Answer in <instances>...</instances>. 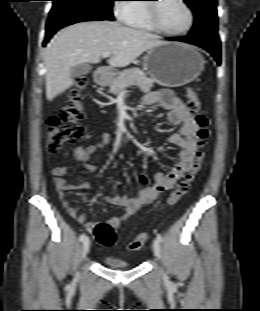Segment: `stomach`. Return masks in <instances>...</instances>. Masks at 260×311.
Wrapping results in <instances>:
<instances>
[{
	"instance_id": "stomach-1",
	"label": "stomach",
	"mask_w": 260,
	"mask_h": 311,
	"mask_svg": "<svg viewBox=\"0 0 260 311\" xmlns=\"http://www.w3.org/2000/svg\"><path fill=\"white\" fill-rule=\"evenodd\" d=\"M204 58L193 47L166 42L147 51L143 68L156 83L167 87L186 85L198 78L204 70ZM107 73H101L97 81L106 84Z\"/></svg>"
}]
</instances>
